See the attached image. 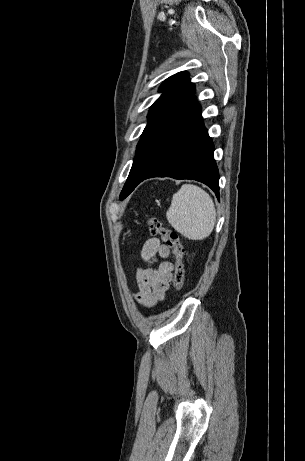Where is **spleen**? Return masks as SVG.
I'll list each match as a JSON object with an SVG mask.
<instances>
[{"mask_svg": "<svg viewBox=\"0 0 305 461\" xmlns=\"http://www.w3.org/2000/svg\"><path fill=\"white\" fill-rule=\"evenodd\" d=\"M169 224L190 240L207 238L216 222V209L211 196L202 188L185 184L173 195L166 212Z\"/></svg>", "mask_w": 305, "mask_h": 461, "instance_id": "obj_1", "label": "spleen"}]
</instances>
